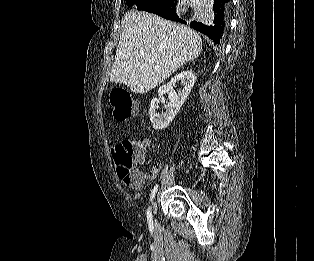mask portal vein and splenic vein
Instances as JSON below:
<instances>
[{
    "label": "portal vein and splenic vein",
    "instance_id": "obj_1",
    "mask_svg": "<svg viewBox=\"0 0 314 261\" xmlns=\"http://www.w3.org/2000/svg\"><path fill=\"white\" fill-rule=\"evenodd\" d=\"M160 69V67L159 66H155V70H159Z\"/></svg>",
    "mask_w": 314,
    "mask_h": 261
}]
</instances>
